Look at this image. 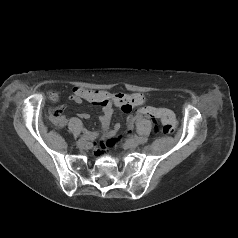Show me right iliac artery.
Returning a JSON list of instances; mask_svg holds the SVG:
<instances>
[{"label":"right iliac artery","mask_w":238,"mask_h":238,"mask_svg":"<svg viewBox=\"0 0 238 238\" xmlns=\"http://www.w3.org/2000/svg\"><path fill=\"white\" fill-rule=\"evenodd\" d=\"M97 135H98L97 132H85L83 135H81V138L93 139L96 138Z\"/></svg>","instance_id":"1"}]
</instances>
